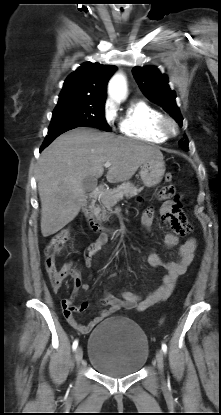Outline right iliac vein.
I'll use <instances>...</instances> for the list:
<instances>
[{
	"label": "right iliac vein",
	"instance_id": "obj_1",
	"mask_svg": "<svg viewBox=\"0 0 221 415\" xmlns=\"http://www.w3.org/2000/svg\"><path fill=\"white\" fill-rule=\"evenodd\" d=\"M82 358H83V350H82L81 347H78L75 350V360H76V362H77L78 365L81 363Z\"/></svg>",
	"mask_w": 221,
	"mask_h": 415
}]
</instances>
